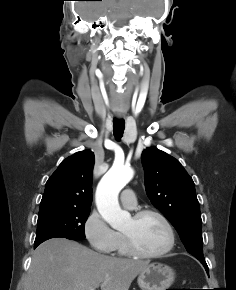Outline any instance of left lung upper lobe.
<instances>
[{
    "instance_id": "1",
    "label": "left lung upper lobe",
    "mask_w": 236,
    "mask_h": 290,
    "mask_svg": "<svg viewBox=\"0 0 236 290\" xmlns=\"http://www.w3.org/2000/svg\"><path fill=\"white\" fill-rule=\"evenodd\" d=\"M141 159L151 203L175 227L187 251L208 269L203 256L200 207L192 178L178 160L157 148L144 150Z\"/></svg>"
}]
</instances>
